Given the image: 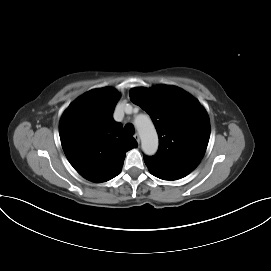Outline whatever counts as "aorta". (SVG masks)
<instances>
[{
	"instance_id": "1",
	"label": "aorta",
	"mask_w": 271,
	"mask_h": 271,
	"mask_svg": "<svg viewBox=\"0 0 271 271\" xmlns=\"http://www.w3.org/2000/svg\"><path fill=\"white\" fill-rule=\"evenodd\" d=\"M135 124L141 138L142 150L146 155H154L158 149V136L151 119L146 115L136 118Z\"/></svg>"
}]
</instances>
